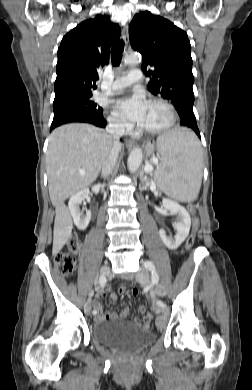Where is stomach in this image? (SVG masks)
Returning <instances> with one entry per match:
<instances>
[{
    "label": "stomach",
    "mask_w": 252,
    "mask_h": 390,
    "mask_svg": "<svg viewBox=\"0 0 252 390\" xmlns=\"http://www.w3.org/2000/svg\"><path fill=\"white\" fill-rule=\"evenodd\" d=\"M154 151V145L152 143H148L146 146V153L147 155L152 154Z\"/></svg>",
    "instance_id": "1"
}]
</instances>
